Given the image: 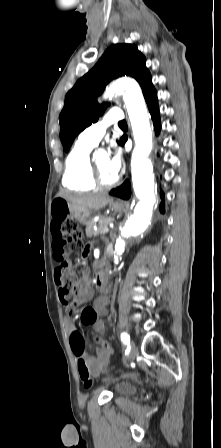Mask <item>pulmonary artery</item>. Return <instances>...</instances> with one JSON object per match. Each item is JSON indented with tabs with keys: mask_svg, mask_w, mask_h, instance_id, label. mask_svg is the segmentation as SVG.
<instances>
[{
	"mask_svg": "<svg viewBox=\"0 0 221 448\" xmlns=\"http://www.w3.org/2000/svg\"><path fill=\"white\" fill-rule=\"evenodd\" d=\"M123 113L112 108L99 121L85 128L78 137V142L91 147L96 146L106 133V129L110 124L123 121Z\"/></svg>",
	"mask_w": 221,
	"mask_h": 448,
	"instance_id": "pulmonary-artery-1",
	"label": "pulmonary artery"
}]
</instances>
